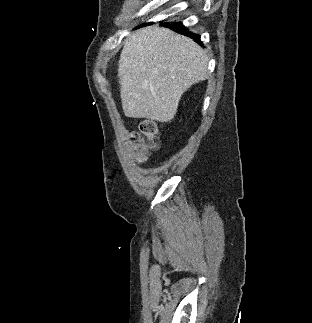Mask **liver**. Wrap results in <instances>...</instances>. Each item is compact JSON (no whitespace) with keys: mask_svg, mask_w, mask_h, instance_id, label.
<instances>
[{"mask_svg":"<svg viewBox=\"0 0 312 323\" xmlns=\"http://www.w3.org/2000/svg\"><path fill=\"white\" fill-rule=\"evenodd\" d=\"M208 58L193 40L167 28L147 26L128 36L118 78L127 118L170 122L184 92L207 78Z\"/></svg>","mask_w":312,"mask_h":323,"instance_id":"liver-1","label":"liver"}]
</instances>
